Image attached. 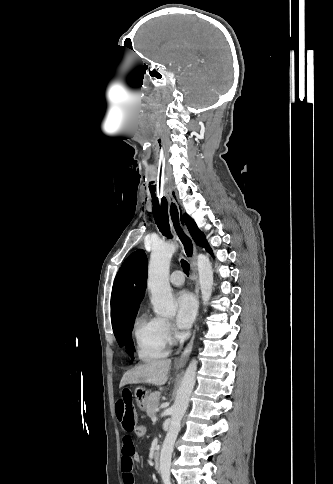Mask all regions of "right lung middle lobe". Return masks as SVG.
Returning <instances> with one entry per match:
<instances>
[{
    "label": "right lung middle lobe",
    "instance_id": "dd1d6c3e",
    "mask_svg": "<svg viewBox=\"0 0 333 484\" xmlns=\"http://www.w3.org/2000/svg\"><path fill=\"white\" fill-rule=\"evenodd\" d=\"M136 312L130 314L127 318L122 321L117 328H114L115 337L119 343L120 347H125L128 351V354L133 360L134 355V345L133 340L131 338V330L134 323V317Z\"/></svg>",
    "mask_w": 333,
    "mask_h": 484
}]
</instances>
